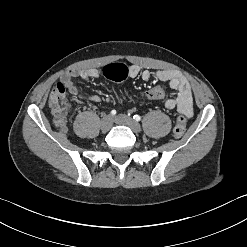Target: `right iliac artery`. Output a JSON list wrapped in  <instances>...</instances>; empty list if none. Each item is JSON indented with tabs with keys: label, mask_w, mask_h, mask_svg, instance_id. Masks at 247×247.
<instances>
[{
	"label": "right iliac artery",
	"mask_w": 247,
	"mask_h": 247,
	"mask_svg": "<svg viewBox=\"0 0 247 247\" xmlns=\"http://www.w3.org/2000/svg\"><path fill=\"white\" fill-rule=\"evenodd\" d=\"M111 114H112V115H115V114H116V110H112V111H111Z\"/></svg>",
	"instance_id": "right-iliac-artery-1"
}]
</instances>
